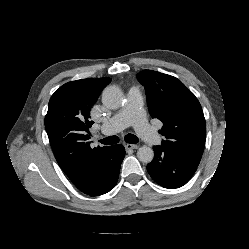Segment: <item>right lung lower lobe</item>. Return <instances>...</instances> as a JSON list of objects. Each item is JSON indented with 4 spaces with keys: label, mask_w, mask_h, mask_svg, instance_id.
Here are the masks:
<instances>
[{
    "label": "right lung lower lobe",
    "mask_w": 249,
    "mask_h": 249,
    "mask_svg": "<svg viewBox=\"0 0 249 249\" xmlns=\"http://www.w3.org/2000/svg\"><path fill=\"white\" fill-rule=\"evenodd\" d=\"M124 156L125 149L121 144L111 146L109 159L102 162L98 170L89 175L87 184L80 190L91 196L109 192L117 183Z\"/></svg>",
    "instance_id": "1"
}]
</instances>
